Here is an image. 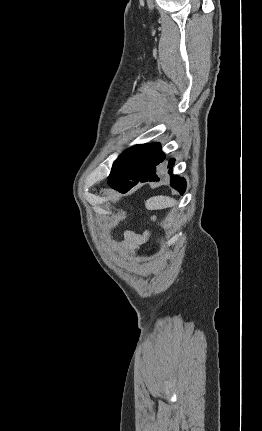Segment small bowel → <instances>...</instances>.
I'll list each match as a JSON object with an SVG mask.
<instances>
[{"mask_svg":"<svg viewBox=\"0 0 262 431\" xmlns=\"http://www.w3.org/2000/svg\"><path fill=\"white\" fill-rule=\"evenodd\" d=\"M130 240L132 241V244L134 247H137L141 244H143L146 241L145 236H135V235H129Z\"/></svg>","mask_w":262,"mask_h":431,"instance_id":"small-bowel-1","label":"small bowel"}]
</instances>
